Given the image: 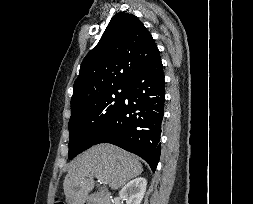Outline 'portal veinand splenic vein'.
Returning <instances> with one entry per match:
<instances>
[{
	"label": "portal vein and splenic vein",
	"instance_id": "portal-vein-and-splenic-vein-1",
	"mask_svg": "<svg viewBox=\"0 0 253 204\" xmlns=\"http://www.w3.org/2000/svg\"><path fill=\"white\" fill-rule=\"evenodd\" d=\"M98 178V181L101 183V184H103V183H105L102 179H100L99 177H97Z\"/></svg>",
	"mask_w": 253,
	"mask_h": 204
}]
</instances>
